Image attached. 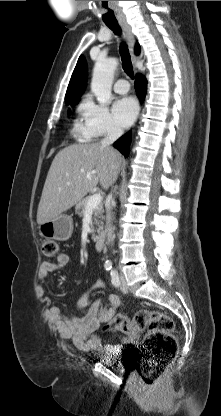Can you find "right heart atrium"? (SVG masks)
<instances>
[{"label":"right heart atrium","instance_id":"right-heart-atrium-1","mask_svg":"<svg viewBox=\"0 0 221 416\" xmlns=\"http://www.w3.org/2000/svg\"><path fill=\"white\" fill-rule=\"evenodd\" d=\"M79 113L81 119L78 132L83 138L116 137L122 133L109 109L105 105L97 103L91 95H87L83 99Z\"/></svg>","mask_w":221,"mask_h":416}]
</instances>
